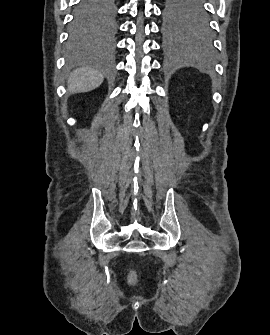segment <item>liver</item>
<instances>
[{
    "label": "liver",
    "mask_w": 270,
    "mask_h": 335,
    "mask_svg": "<svg viewBox=\"0 0 270 335\" xmlns=\"http://www.w3.org/2000/svg\"><path fill=\"white\" fill-rule=\"evenodd\" d=\"M103 80V74L97 70H91V68L74 70L68 80V92H90L101 86Z\"/></svg>",
    "instance_id": "1"
}]
</instances>
